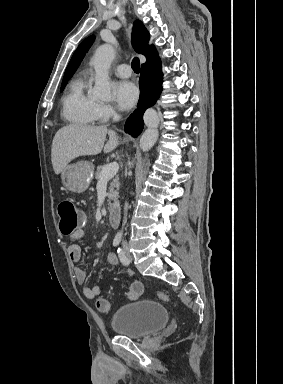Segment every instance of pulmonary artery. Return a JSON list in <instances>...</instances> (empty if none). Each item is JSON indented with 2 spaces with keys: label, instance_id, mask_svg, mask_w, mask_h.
Here are the masks:
<instances>
[{
  "label": "pulmonary artery",
  "instance_id": "1",
  "mask_svg": "<svg viewBox=\"0 0 283 384\" xmlns=\"http://www.w3.org/2000/svg\"><path fill=\"white\" fill-rule=\"evenodd\" d=\"M114 72L118 77L127 78L131 75L132 70L128 65L122 64L115 67Z\"/></svg>",
  "mask_w": 283,
  "mask_h": 384
}]
</instances>
